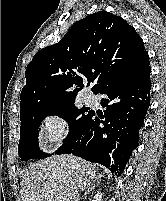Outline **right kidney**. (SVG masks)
<instances>
[{"mask_svg":"<svg viewBox=\"0 0 166 201\" xmlns=\"http://www.w3.org/2000/svg\"><path fill=\"white\" fill-rule=\"evenodd\" d=\"M103 194L101 192H98L94 197L92 201H102Z\"/></svg>","mask_w":166,"mask_h":201,"instance_id":"ca27d5eb","label":"right kidney"}]
</instances>
